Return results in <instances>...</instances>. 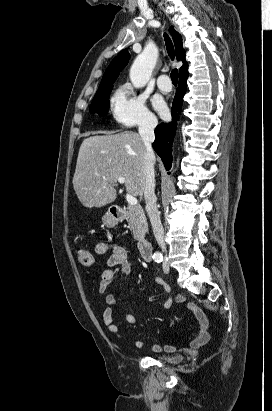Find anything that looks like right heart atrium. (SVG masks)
Masks as SVG:
<instances>
[{
	"instance_id": "1",
	"label": "right heart atrium",
	"mask_w": 272,
	"mask_h": 411,
	"mask_svg": "<svg viewBox=\"0 0 272 411\" xmlns=\"http://www.w3.org/2000/svg\"><path fill=\"white\" fill-rule=\"evenodd\" d=\"M113 121L122 127H146L156 125L154 114L147 108L145 99L128 84L119 86L109 101Z\"/></svg>"
}]
</instances>
